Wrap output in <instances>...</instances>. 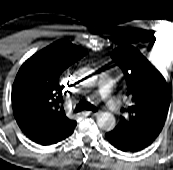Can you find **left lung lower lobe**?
Listing matches in <instances>:
<instances>
[{"label":"left lung lower lobe","mask_w":173,"mask_h":170,"mask_svg":"<svg viewBox=\"0 0 173 170\" xmlns=\"http://www.w3.org/2000/svg\"><path fill=\"white\" fill-rule=\"evenodd\" d=\"M106 138L107 140L117 149L124 151V152H138L142 149L136 148V147H132L130 146L128 143L124 142L123 140H121L119 137L111 135L109 132L106 133Z\"/></svg>","instance_id":"left-lung-lower-lobe-1"}]
</instances>
